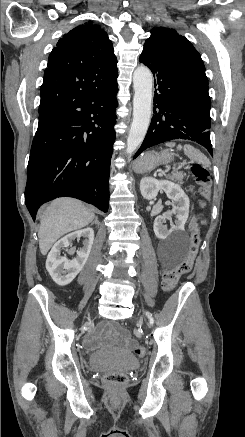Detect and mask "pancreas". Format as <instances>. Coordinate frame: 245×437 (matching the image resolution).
Here are the masks:
<instances>
[{
    "mask_svg": "<svg viewBox=\"0 0 245 437\" xmlns=\"http://www.w3.org/2000/svg\"><path fill=\"white\" fill-rule=\"evenodd\" d=\"M184 174L182 172H174L172 174V176L169 177V179L177 181L178 183H182L183 182V178H184Z\"/></svg>",
    "mask_w": 245,
    "mask_h": 437,
    "instance_id": "cf45deb5",
    "label": "pancreas"
}]
</instances>
